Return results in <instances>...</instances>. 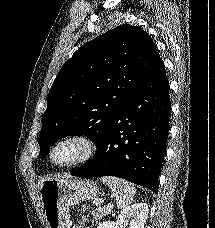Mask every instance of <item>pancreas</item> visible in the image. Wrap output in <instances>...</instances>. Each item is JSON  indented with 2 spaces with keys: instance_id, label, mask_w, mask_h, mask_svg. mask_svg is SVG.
<instances>
[{
  "instance_id": "obj_1",
  "label": "pancreas",
  "mask_w": 215,
  "mask_h": 228,
  "mask_svg": "<svg viewBox=\"0 0 215 228\" xmlns=\"http://www.w3.org/2000/svg\"><path fill=\"white\" fill-rule=\"evenodd\" d=\"M110 212L111 210H108V208H96V210L92 212V218L93 220H102V218L108 216ZM82 222H87V218H82Z\"/></svg>"
}]
</instances>
